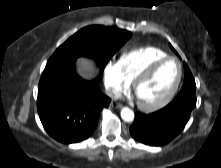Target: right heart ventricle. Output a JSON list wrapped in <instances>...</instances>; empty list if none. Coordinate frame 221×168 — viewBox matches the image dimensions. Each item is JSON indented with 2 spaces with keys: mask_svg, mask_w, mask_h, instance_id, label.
<instances>
[{
  "mask_svg": "<svg viewBox=\"0 0 221 168\" xmlns=\"http://www.w3.org/2000/svg\"><path fill=\"white\" fill-rule=\"evenodd\" d=\"M168 56L166 52L156 47H142L123 53L118 64L124 77L132 82L148 65Z\"/></svg>",
  "mask_w": 221,
  "mask_h": 168,
  "instance_id": "obj_1",
  "label": "right heart ventricle"
}]
</instances>
